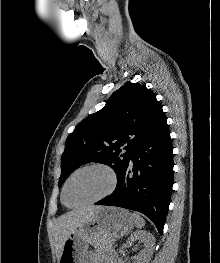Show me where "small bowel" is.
Returning <instances> with one entry per match:
<instances>
[{
  "mask_svg": "<svg viewBox=\"0 0 220 263\" xmlns=\"http://www.w3.org/2000/svg\"><path fill=\"white\" fill-rule=\"evenodd\" d=\"M86 263H96V261L94 260V258H93L91 255H89V256L87 257Z\"/></svg>",
  "mask_w": 220,
  "mask_h": 263,
  "instance_id": "1",
  "label": "small bowel"
}]
</instances>
